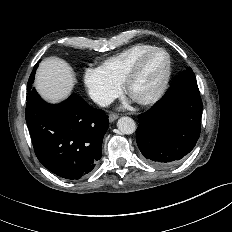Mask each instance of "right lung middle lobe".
I'll use <instances>...</instances> for the list:
<instances>
[{"label": "right lung middle lobe", "instance_id": "dd1d6c3e", "mask_svg": "<svg viewBox=\"0 0 232 232\" xmlns=\"http://www.w3.org/2000/svg\"><path fill=\"white\" fill-rule=\"evenodd\" d=\"M37 67H38V63L35 65L33 72L31 73V75L29 77V81H28V85H27L28 92L33 88L32 84L34 82V75H35Z\"/></svg>", "mask_w": 232, "mask_h": 232}]
</instances>
